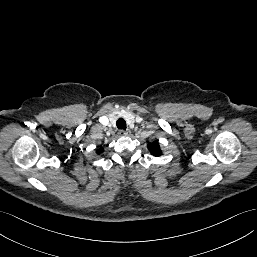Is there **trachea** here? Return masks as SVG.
Returning a JSON list of instances; mask_svg holds the SVG:
<instances>
[{
	"mask_svg": "<svg viewBox=\"0 0 257 257\" xmlns=\"http://www.w3.org/2000/svg\"><path fill=\"white\" fill-rule=\"evenodd\" d=\"M117 128L121 130H126V121L123 118H119L116 122Z\"/></svg>",
	"mask_w": 257,
	"mask_h": 257,
	"instance_id": "trachea-1",
	"label": "trachea"
}]
</instances>
